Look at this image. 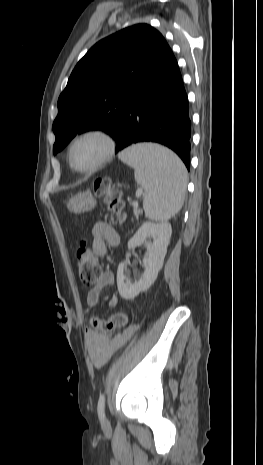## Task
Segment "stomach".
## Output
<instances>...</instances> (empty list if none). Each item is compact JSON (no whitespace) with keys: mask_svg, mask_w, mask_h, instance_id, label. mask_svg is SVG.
Segmentation results:
<instances>
[{"mask_svg":"<svg viewBox=\"0 0 263 465\" xmlns=\"http://www.w3.org/2000/svg\"><path fill=\"white\" fill-rule=\"evenodd\" d=\"M97 204L96 199L90 191L78 193L71 197L67 202V208L70 212L79 214L91 211Z\"/></svg>","mask_w":263,"mask_h":465,"instance_id":"obj_1","label":"stomach"}]
</instances>
